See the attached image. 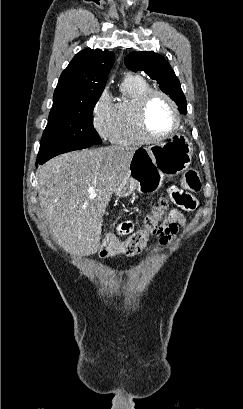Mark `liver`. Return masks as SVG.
Instances as JSON below:
<instances>
[{
	"instance_id": "1",
	"label": "liver",
	"mask_w": 243,
	"mask_h": 409,
	"mask_svg": "<svg viewBox=\"0 0 243 409\" xmlns=\"http://www.w3.org/2000/svg\"><path fill=\"white\" fill-rule=\"evenodd\" d=\"M136 147L108 146L57 156L36 171L41 214L53 238L71 254L99 247L100 225L130 170ZM94 187L96 196L88 189Z\"/></svg>"
}]
</instances>
